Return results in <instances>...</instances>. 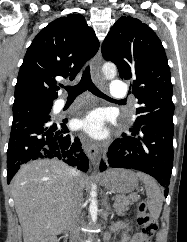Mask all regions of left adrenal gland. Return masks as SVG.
<instances>
[{
    "label": "left adrenal gland",
    "mask_w": 187,
    "mask_h": 242,
    "mask_svg": "<svg viewBox=\"0 0 187 242\" xmlns=\"http://www.w3.org/2000/svg\"><path fill=\"white\" fill-rule=\"evenodd\" d=\"M107 199H108L107 197L104 198V205H105L107 208H109V206H108V204H107Z\"/></svg>",
    "instance_id": "obj_1"
}]
</instances>
